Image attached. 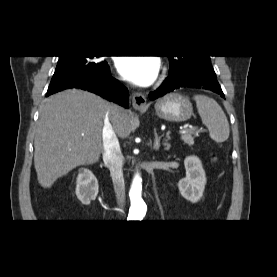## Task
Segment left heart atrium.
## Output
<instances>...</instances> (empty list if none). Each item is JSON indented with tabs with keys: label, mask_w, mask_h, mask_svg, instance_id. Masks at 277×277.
<instances>
[{
	"label": "left heart atrium",
	"mask_w": 277,
	"mask_h": 277,
	"mask_svg": "<svg viewBox=\"0 0 277 277\" xmlns=\"http://www.w3.org/2000/svg\"><path fill=\"white\" fill-rule=\"evenodd\" d=\"M116 68L121 77L139 86L151 84L159 70V62L153 57H120Z\"/></svg>",
	"instance_id": "39dd6f15"
}]
</instances>
